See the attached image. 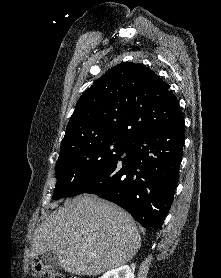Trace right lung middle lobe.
I'll return each mask as SVG.
<instances>
[{
	"instance_id": "obj_1",
	"label": "right lung middle lobe",
	"mask_w": 221,
	"mask_h": 278,
	"mask_svg": "<svg viewBox=\"0 0 221 278\" xmlns=\"http://www.w3.org/2000/svg\"><path fill=\"white\" fill-rule=\"evenodd\" d=\"M128 141L119 137L93 138L60 152L53 199L72 195L81 185L113 164L124 154Z\"/></svg>"
}]
</instances>
